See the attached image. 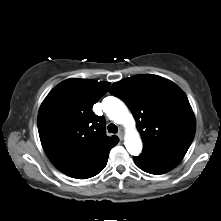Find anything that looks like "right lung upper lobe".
<instances>
[{"mask_svg": "<svg viewBox=\"0 0 221 221\" xmlns=\"http://www.w3.org/2000/svg\"><path fill=\"white\" fill-rule=\"evenodd\" d=\"M109 82L67 79L53 88L41 104L38 131L45 153L63 173L93 165L119 139L105 134V120L92 111Z\"/></svg>", "mask_w": 221, "mask_h": 221, "instance_id": "obj_1", "label": "right lung upper lobe"}]
</instances>
